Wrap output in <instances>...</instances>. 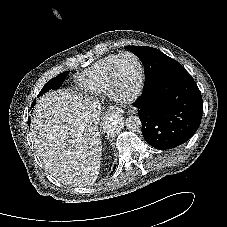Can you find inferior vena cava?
<instances>
[{"mask_svg": "<svg viewBox=\"0 0 227 227\" xmlns=\"http://www.w3.org/2000/svg\"><path fill=\"white\" fill-rule=\"evenodd\" d=\"M90 108L92 110V113H93V116L95 118H98L100 113H101V107H100V104L97 103V102H94L90 105Z\"/></svg>", "mask_w": 227, "mask_h": 227, "instance_id": "obj_1", "label": "inferior vena cava"}]
</instances>
